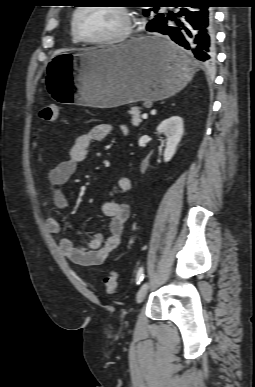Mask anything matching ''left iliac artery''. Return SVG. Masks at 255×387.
Returning <instances> with one entry per match:
<instances>
[{
  "mask_svg": "<svg viewBox=\"0 0 255 387\" xmlns=\"http://www.w3.org/2000/svg\"><path fill=\"white\" fill-rule=\"evenodd\" d=\"M143 279H144V268L141 267V268H139L138 273H137L136 284L137 285L141 284Z\"/></svg>",
  "mask_w": 255,
  "mask_h": 387,
  "instance_id": "44dca946",
  "label": "left iliac artery"
}]
</instances>
